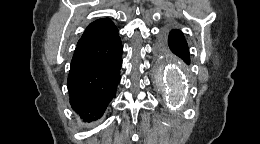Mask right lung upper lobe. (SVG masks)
<instances>
[{
    "label": "right lung upper lobe",
    "mask_w": 260,
    "mask_h": 144,
    "mask_svg": "<svg viewBox=\"0 0 260 144\" xmlns=\"http://www.w3.org/2000/svg\"><path fill=\"white\" fill-rule=\"evenodd\" d=\"M117 34L118 30L110 19H98L89 24V26L85 29L82 37L77 43V46L112 38Z\"/></svg>",
    "instance_id": "obj_1"
}]
</instances>
